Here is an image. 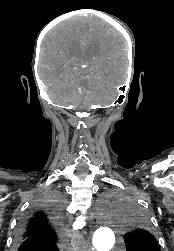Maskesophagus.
Masks as SVG:
<instances>
[{
  "instance_id": "esophagus-1",
  "label": "esophagus",
  "mask_w": 174,
  "mask_h": 251,
  "mask_svg": "<svg viewBox=\"0 0 174 251\" xmlns=\"http://www.w3.org/2000/svg\"><path fill=\"white\" fill-rule=\"evenodd\" d=\"M86 249H87V250H86ZM86 249H85V250H83V251H91L90 246H89V244H88V243L86 244Z\"/></svg>"
}]
</instances>
